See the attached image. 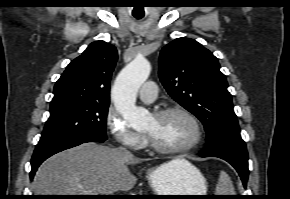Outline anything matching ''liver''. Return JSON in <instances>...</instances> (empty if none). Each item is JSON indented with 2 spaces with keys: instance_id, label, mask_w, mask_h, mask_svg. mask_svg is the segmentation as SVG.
Masks as SVG:
<instances>
[{
  "instance_id": "liver-1",
  "label": "liver",
  "mask_w": 290,
  "mask_h": 199,
  "mask_svg": "<svg viewBox=\"0 0 290 199\" xmlns=\"http://www.w3.org/2000/svg\"><path fill=\"white\" fill-rule=\"evenodd\" d=\"M143 161L117 148L93 142L60 152L48 158L37 170L35 195H114L129 191L137 182L128 165ZM188 162L175 159L167 164Z\"/></svg>"
}]
</instances>
